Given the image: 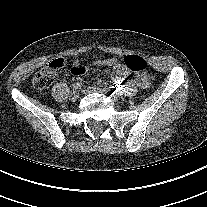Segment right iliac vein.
Here are the masks:
<instances>
[{"mask_svg":"<svg viewBox=\"0 0 207 207\" xmlns=\"http://www.w3.org/2000/svg\"><path fill=\"white\" fill-rule=\"evenodd\" d=\"M78 97H79V92L77 90L73 91L70 95V100L75 101V100H77Z\"/></svg>","mask_w":207,"mask_h":207,"instance_id":"63e3f726","label":"right iliac vein"}]
</instances>
